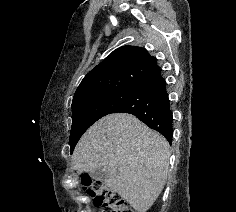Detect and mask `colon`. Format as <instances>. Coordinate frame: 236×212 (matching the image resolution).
<instances>
[{
	"label": "colon",
	"instance_id": "5ec220e1",
	"mask_svg": "<svg viewBox=\"0 0 236 212\" xmlns=\"http://www.w3.org/2000/svg\"><path fill=\"white\" fill-rule=\"evenodd\" d=\"M80 182L83 190L93 199L94 203L104 207L107 212H132L127 202L102 182L87 174L81 176Z\"/></svg>",
	"mask_w": 236,
	"mask_h": 212
}]
</instances>
